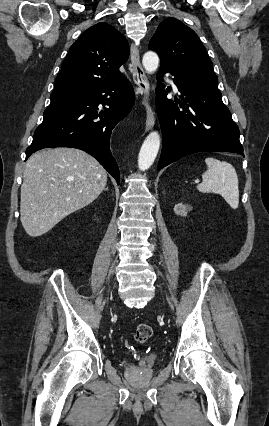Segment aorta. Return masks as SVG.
Masks as SVG:
<instances>
[{"label": "aorta", "mask_w": 269, "mask_h": 426, "mask_svg": "<svg viewBox=\"0 0 269 426\" xmlns=\"http://www.w3.org/2000/svg\"><path fill=\"white\" fill-rule=\"evenodd\" d=\"M142 64L147 73H153L159 65V57L157 53L148 51L144 54ZM160 147V135L157 131H153L145 138L138 156V167L141 171H145L153 164Z\"/></svg>", "instance_id": "762f6f07"}]
</instances>
